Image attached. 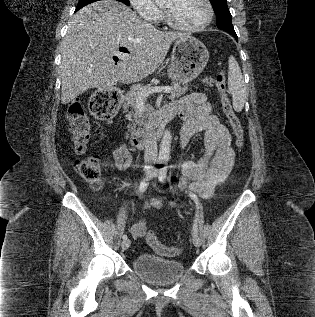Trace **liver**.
I'll use <instances>...</instances> for the list:
<instances>
[{"label":"liver","instance_id":"liver-1","mask_svg":"<svg viewBox=\"0 0 315 317\" xmlns=\"http://www.w3.org/2000/svg\"><path fill=\"white\" fill-rule=\"evenodd\" d=\"M187 37L156 29L116 0L82 8L70 20L61 45L62 104L91 88L141 81L161 65L174 41ZM119 47L129 53L120 54ZM112 56L119 57L117 65Z\"/></svg>","mask_w":315,"mask_h":317}]
</instances>
